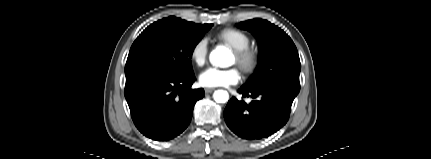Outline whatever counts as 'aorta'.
<instances>
[{
  "label": "aorta",
  "mask_w": 431,
  "mask_h": 159,
  "mask_svg": "<svg viewBox=\"0 0 431 159\" xmlns=\"http://www.w3.org/2000/svg\"><path fill=\"white\" fill-rule=\"evenodd\" d=\"M230 52L225 47H217L214 49L209 56L212 65L217 67L227 66L226 58H228ZM213 98L217 103H226L229 99V94L225 90H217L213 94Z\"/></svg>",
  "instance_id": "aorta-1"
}]
</instances>
